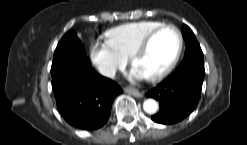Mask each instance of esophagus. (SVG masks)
I'll return each instance as SVG.
<instances>
[{
	"label": "esophagus",
	"mask_w": 247,
	"mask_h": 145,
	"mask_svg": "<svg viewBox=\"0 0 247 145\" xmlns=\"http://www.w3.org/2000/svg\"><path fill=\"white\" fill-rule=\"evenodd\" d=\"M124 91L130 95H133L135 97H143V93H141L140 91H138L137 89L131 88V87H126L124 88Z\"/></svg>",
	"instance_id": "esophagus-1"
}]
</instances>
